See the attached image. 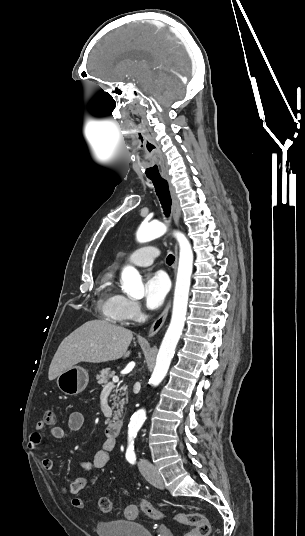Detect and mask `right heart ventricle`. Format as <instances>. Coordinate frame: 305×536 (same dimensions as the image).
<instances>
[{"instance_id": "obj_1", "label": "right heart ventricle", "mask_w": 305, "mask_h": 536, "mask_svg": "<svg viewBox=\"0 0 305 536\" xmlns=\"http://www.w3.org/2000/svg\"><path fill=\"white\" fill-rule=\"evenodd\" d=\"M124 299L115 286L113 274L104 273L99 288L98 304L109 320L116 323L125 322L126 319L121 310Z\"/></svg>"}]
</instances>
